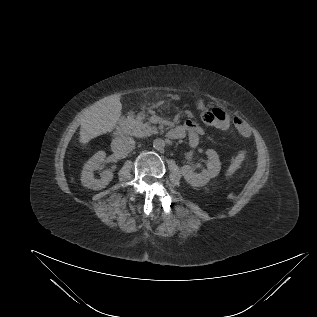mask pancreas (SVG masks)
<instances>
[{
  "label": "pancreas",
  "instance_id": "obj_1",
  "mask_svg": "<svg viewBox=\"0 0 317 317\" xmlns=\"http://www.w3.org/2000/svg\"><path fill=\"white\" fill-rule=\"evenodd\" d=\"M144 113H139L137 116L129 115L126 119L128 135L136 137H145L157 132V128L151 126L149 122H143L145 119Z\"/></svg>",
  "mask_w": 317,
  "mask_h": 317
}]
</instances>
